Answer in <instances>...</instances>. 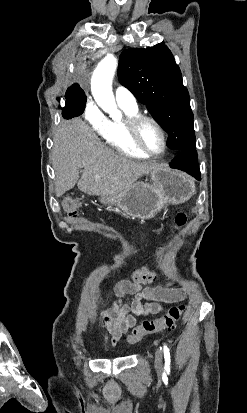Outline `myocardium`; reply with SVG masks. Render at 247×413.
<instances>
[{
  "label": "myocardium",
  "instance_id": "obj_1",
  "mask_svg": "<svg viewBox=\"0 0 247 413\" xmlns=\"http://www.w3.org/2000/svg\"><path fill=\"white\" fill-rule=\"evenodd\" d=\"M144 122H147L153 125L155 128L159 130V132L162 135L164 145H163V149L159 153H155V152L148 150L140 141L139 129H140V126ZM130 137H131V140L134 146L138 150H140L142 153H144L147 157L154 158V159H160L166 154L168 150L169 141H168L167 133L165 129L152 117L145 116V115L134 116L130 124Z\"/></svg>",
  "mask_w": 247,
  "mask_h": 413
}]
</instances>
